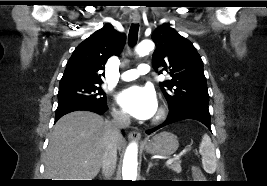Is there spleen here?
Returning <instances> with one entry per match:
<instances>
[{"label": "spleen", "instance_id": "spleen-1", "mask_svg": "<svg viewBox=\"0 0 267 186\" xmlns=\"http://www.w3.org/2000/svg\"><path fill=\"white\" fill-rule=\"evenodd\" d=\"M199 153L202 156V165L204 170L208 173H214L217 165L215 147L207 134H204L202 137Z\"/></svg>", "mask_w": 267, "mask_h": 186}]
</instances>
